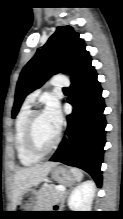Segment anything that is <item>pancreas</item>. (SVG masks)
<instances>
[{"instance_id": "1", "label": "pancreas", "mask_w": 123, "mask_h": 219, "mask_svg": "<svg viewBox=\"0 0 123 219\" xmlns=\"http://www.w3.org/2000/svg\"><path fill=\"white\" fill-rule=\"evenodd\" d=\"M55 185H48L41 188L39 192V203L37 208L39 210L49 209L64 198V191L56 189Z\"/></svg>"}]
</instances>
